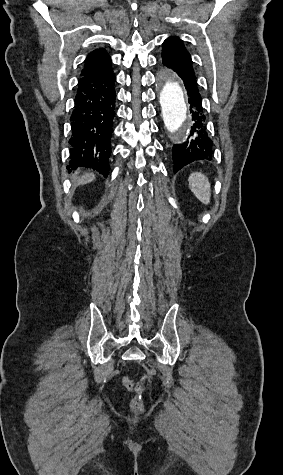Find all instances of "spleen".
Returning <instances> with one entry per match:
<instances>
[{"instance_id": "3e777b00", "label": "spleen", "mask_w": 283, "mask_h": 475, "mask_svg": "<svg viewBox=\"0 0 283 475\" xmlns=\"http://www.w3.org/2000/svg\"><path fill=\"white\" fill-rule=\"evenodd\" d=\"M189 188L202 204H210V182L201 172H193L188 178Z\"/></svg>"}]
</instances>
